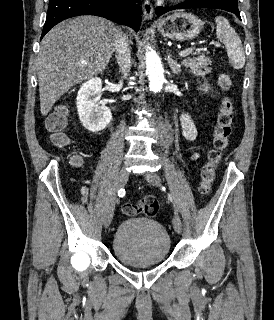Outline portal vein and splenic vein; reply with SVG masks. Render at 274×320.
<instances>
[{
  "label": "portal vein and splenic vein",
  "instance_id": "portal-vein-and-splenic-vein-1",
  "mask_svg": "<svg viewBox=\"0 0 274 320\" xmlns=\"http://www.w3.org/2000/svg\"><path fill=\"white\" fill-rule=\"evenodd\" d=\"M191 50H184V52H180L179 56H181V58H184V56H189Z\"/></svg>",
  "mask_w": 274,
  "mask_h": 320
}]
</instances>
